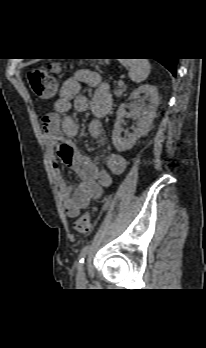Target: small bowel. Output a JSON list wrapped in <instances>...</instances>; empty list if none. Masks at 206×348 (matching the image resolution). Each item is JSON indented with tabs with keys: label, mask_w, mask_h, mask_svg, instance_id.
Masks as SVG:
<instances>
[{
	"label": "small bowel",
	"mask_w": 206,
	"mask_h": 348,
	"mask_svg": "<svg viewBox=\"0 0 206 348\" xmlns=\"http://www.w3.org/2000/svg\"><path fill=\"white\" fill-rule=\"evenodd\" d=\"M83 85L94 89L90 100L81 94ZM111 106L112 96L101 76L90 70H79L62 84L53 111L42 120L57 186L69 218H75L92 200L100 198L103 189L112 184V175L123 173L127 162L122 155L111 152L105 157V168H97L69 140L79 133V124L67 114L71 110L78 113L90 110L94 118L89 124V133L94 139L103 141L105 129L102 118L108 114ZM60 162L69 166L81 179L76 189L73 190L63 179Z\"/></svg>",
	"instance_id": "c3829d8e"
}]
</instances>
